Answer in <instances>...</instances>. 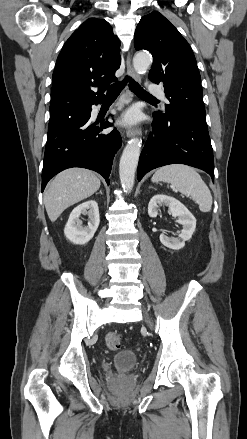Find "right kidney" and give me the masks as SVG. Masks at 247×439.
<instances>
[{"label": "right kidney", "instance_id": "1", "mask_svg": "<svg viewBox=\"0 0 247 439\" xmlns=\"http://www.w3.org/2000/svg\"><path fill=\"white\" fill-rule=\"evenodd\" d=\"M81 214L89 217L88 225L85 227L79 219ZM99 223L98 204L95 200H89L73 209L65 226L64 234L74 244H86L93 238Z\"/></svg>", "mask_w": 247, "mask_h": 439}]
</instances>
